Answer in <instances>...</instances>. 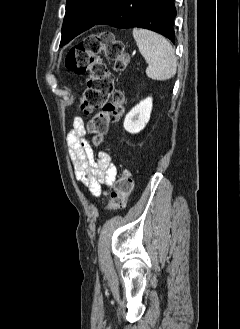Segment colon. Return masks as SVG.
<instances>
[{"instance_id": "colon-1", "label": "colon", "mask_w": 240, "mask_h": 329, "mask_svg": "<svg viewBox=\"0 0 240 329\" xmlns=\"http://www.w3.org/2000/svg\"><path fill=\"white\" fill-rule=\"evenodd\" d=\"M101 53L114 60L116 70H124L128 65L129 57L123 44L108 32L87 35L69 51L65 59L69 71L88 75L87 86L80 99L83 112L89 114L100 109L87 123L95 145L103 141L109 126L120 120L125 99L123 91L114 87L113 77L99 56ZM132 189V175L126 170L115 182L108 209H124Z\"/></svg>"}]
</instances>
